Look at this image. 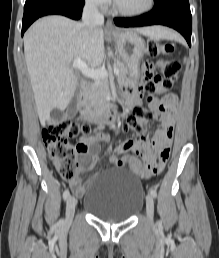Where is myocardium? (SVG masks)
I'll use <instances>...</instances> for the list:
<instances>
[{
  "instance_id": "obj_1",
  "label": "myocardium",
  "mask_w": 219,
  "mask_h": 258,
  "mask_svg": "<svg viewBox=\"0 0 219 258\" xmlns=\"http://www.w3.org/2000/svg\"><path fill=\"white\" fill-rule=\"evenodd\" d=\"M154 4H155V0H148L147 5L142 9L125 10L117 4L116 0H113V9L117 14H120L122 16L136 17V16H141L148 13L150 10H152V8L154 7Z\"/></svg>"
}]
</instances>
